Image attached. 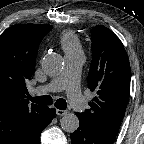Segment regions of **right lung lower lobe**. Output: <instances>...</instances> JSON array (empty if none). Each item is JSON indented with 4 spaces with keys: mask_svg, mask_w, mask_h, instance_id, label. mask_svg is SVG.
<instances>
[{
    "mask_svg": "<svg viewBox=\"0 0 144 144\" xmlns=\"http://www.w3.org/2000/svg\"><path fill=\"white\" fill-rule=\"evenodd\" d=\"M55 114V109L46 107L41 117L36 121L31 130L18 144H40V134L42 130L52 121Z\"/></svg>",
    "mask_w": 144,
    "mask_h": 144,
    "instance_id": "98d812e1",
    "label": "right lung lower lobe"
}]
</instances>
